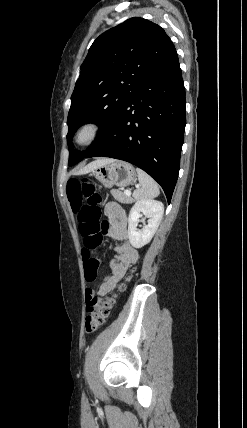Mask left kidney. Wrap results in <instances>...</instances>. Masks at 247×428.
<instances>
[{
    "mask_svg": "<svg viewBox=\"0 0 247 428\" xmlns=\"http://www.w3.org/2000/svg\"><path fill=\"white\" fill-rule=\"evenodd\" d=\"M163 213L164 205L160 201L152 199L136 201L128 218V237L134 248H142L151 241L159 227ZM142 215L148 218V224L142 230H137Z\"/></svg>",
    "mask_w": 247,
    "mask_h": 428,
    "instance_id": "5707ae66",
    "label": "left kidney"
}]
</instances>
